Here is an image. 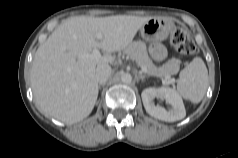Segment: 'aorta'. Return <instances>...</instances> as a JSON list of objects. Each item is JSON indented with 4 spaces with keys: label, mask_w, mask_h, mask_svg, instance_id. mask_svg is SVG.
<instances>
[{
    "label": "aorta",
    "mask_w": 238,
    "mask_h": 158,
    "mask_svg": "<svg viewBox=\"0 0 238 158\" xmlns=\"http://www.w3.org/2000/svg\"><path fill=\"white\" fill-rule=\"evenodd\" d=\"M121 81L125 84H129L132 82V76L129 73H123L121 75Z\"/></svg>",
    "instance_id": "762f6f07"
}]
</instances>
